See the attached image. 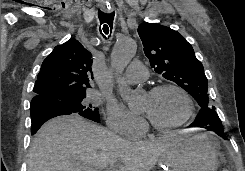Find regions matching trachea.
Segmentation results:
<instances>
[{
    "label": "trachea",
    "instance_id": "trachea-1",
    "mask_svg": "<svg viewBox=\"0 0 245 171\" xmlns=\"http://www.w3.org/2000/svg\"><path fill=\"white\" fill-rule=\"evenodd\" d=\"M98 18L100 21V33L108 35L113 27L114 13H106L99 9Z\"/></svg>",
    "mask_w": 245,
    "mask_h": 171
}]
</instances>
